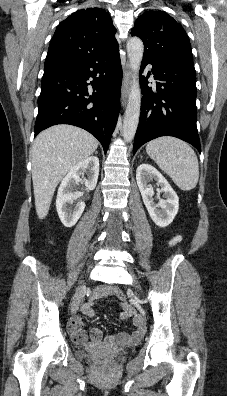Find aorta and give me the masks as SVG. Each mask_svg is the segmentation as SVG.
I'll use <instances>...</instances> for the list:
<instances>
[{"label": "aorta", "instance_id": "762f6f07", "mask_svg": "<svg viewBox=\"0 0 227 396\" xmlns=\"http://www.w3.org/2000/svg\"><path fill=\"white\" fill-rule=\"evenodd\" d=\"M126 48L133 76L123 120V138L126 142H130L135 136L139 123L141 107L139 70L143 58L144 45L140 38L132 37L127 41Z\"/></svg>", "mask_w": 227, "mask_h": 396}]
</instances>
